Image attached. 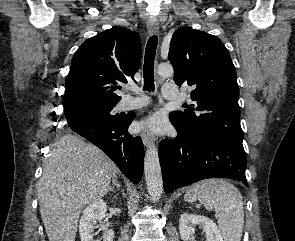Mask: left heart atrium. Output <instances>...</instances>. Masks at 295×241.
Listing matches in <instances>:
<instances>
[{"mask_svg":"<svg viewBox=\"0 0 295 241\" xmlns=\"http://www.w3.org/2000/svg\"><path fill=\"white\" fill-rule=\"evenodd\" d=\"M152 131L160 132L163 128V121L158 117H152L142 124Z\"/></svg>","mask_w":295,"mask_h":241,"instance_id":"1","label":"left heart atrium"}]
</instances>
